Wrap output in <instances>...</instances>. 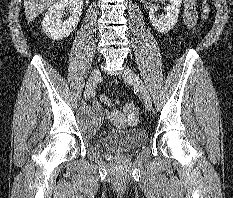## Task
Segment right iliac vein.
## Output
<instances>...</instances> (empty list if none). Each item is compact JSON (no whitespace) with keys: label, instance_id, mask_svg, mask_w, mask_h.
Here are the masks:
<instances>
[{"label":"right iliac vein","instance_id":"1","mask_svg":"<svg viewBox=\"0 0 233 198\" xmlns=\"http://www.w3.org/2000/svg\"><path fill=\"white\" fill-rule=\"evenodd\" d=\"M99 77H100V71L99 69L96 68L91 72L87 85H86V89H85L86 99H90L93 96Z\"/></svg>","mask_w":233,"mask_h":198}]
</instances>
